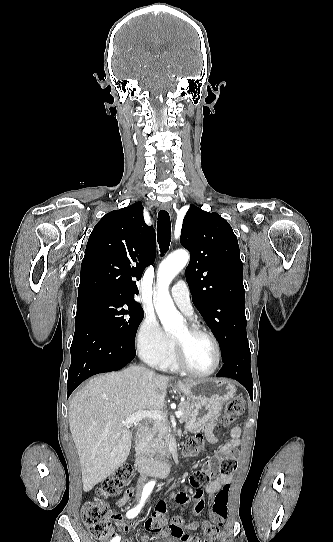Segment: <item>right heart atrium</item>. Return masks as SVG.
I'll return each mask as SVG.
<instances>
[{"label":"right heart atrium","mask_w":333,"mask_h":542,"mask_svg":"<svg viewBox=\"0 0 333 542\" xmlns=\"http://www.w3.org/2000/svg\"><path fill=\"white\" fill-rule=\"evenodd\" d=\"M135 339L137 352L145 359L159 355L171 347V339L154 315H146L142 319Z\"/></svg>","instance_id":"d8ad5b80"}]
</instances>
